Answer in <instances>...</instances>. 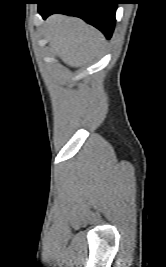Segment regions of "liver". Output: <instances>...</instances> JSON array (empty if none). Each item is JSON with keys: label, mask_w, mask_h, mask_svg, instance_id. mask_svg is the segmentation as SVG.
Here are the masks:
<instances>
[{"label": "liver", "mask_w": 166, "mask_h": 267, "mask_svg": "<svg viewBox=\"0 0 166 267\" xmlns=\"http://www.w3.org/2000/svg\"><path fill=\"white\" fill-rule=\"evenodd\" d=\"M51 49L71 67H81L98 55L103 47V34L83 20L60 14L46 22Z\"/></svg>", "instance_id": "obj_1"}]
</instances>
